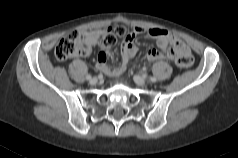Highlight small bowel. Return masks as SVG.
<instances>
[{
  "mask_svg": "<svg viewBox=\"0 0 238 158\" xmlns=\"http://www.w3.org/2000/svg\"><path fill=\"white\" fill-rule=\"evenodd\" d=\"M143 32H146L151 38H154L157 44V49L148 50L146 55L148 60H172L177 56L191 57L190 48L176 35L162 28H150L145 30L142 27H134L123 39L121 44V61L117 66L112 67L107 64V59L110 54V46L99 44L97 31L83 32L86 43V53L84 55H87L92 47L99 45L100 50L96 64L97 69L109 76L118 77L124 73L128 61L137 53L138 47L136 45V36Z\"/></svg>",
  "mask_w": 238,
  "mask_h": 158,
  "instance_id": "c3829d8e",
  "label": "small bowel"
}]
</instances>
